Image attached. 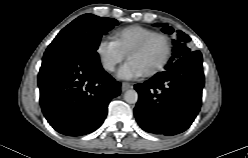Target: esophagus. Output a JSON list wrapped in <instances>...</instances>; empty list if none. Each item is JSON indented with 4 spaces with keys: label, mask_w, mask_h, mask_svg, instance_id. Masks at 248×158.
<instances>
[{
    "label": "esophagus",
    "mask_w": 248,
    "mask_h": 158,
    "mask_svg": "<svg viewBox=\"0 0 248 158\" xmlns=\"http://www.w3.org/2000/svg\"><path fill=\"white\" fill-rule=\"evenodd\" d=\"M131 87H132V85L130 83H127V82H123L121 85V89L123 92L130 89Z\"/></svg>",
    "instance_id": "34e87169"
}]
</instances>
